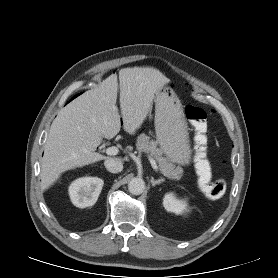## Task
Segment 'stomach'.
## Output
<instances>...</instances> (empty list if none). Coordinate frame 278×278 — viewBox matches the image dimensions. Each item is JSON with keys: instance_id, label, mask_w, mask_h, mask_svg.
I'll list each match as a JSON object with an SVG mask.
<instances>
[{"instance_id": "obj_1", "label": "stomach", "mask_w": 278, "mask_h": 278, "mask_svg": "<svg viewBox=\"0 0 278 278\" xmlns=\"http://www.w3.org/2000/svg\"><path fill=\"white\" fill-rule=\"evenodd\" d=\"M155 131L167 158L186 166L191 161L187 121L182 104L172 88L163 86L155 95Z\"/></svg>"}]
</instances>
